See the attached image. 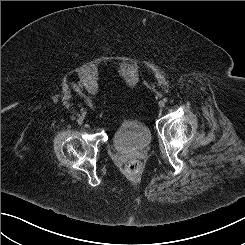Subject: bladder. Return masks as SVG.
I'll return each mask as SVG.
<instances>
[{
  "label": "bladder",
  "mask_w": 245,
  "mask_h": 245,
  "mask_svg": "<svg viewBox=\"0 0 245 245\" xmlns=\"http://www.w3.org/2000/svg\"><path fill=\"white\" fill-rule=\"evenodd\" d=\"M151 131L139 119H123L114 129L112 143L117 150L131 152L144 149L151 143Z\"/></svg>",
  "instance_id": "obj_1"
}]
</instances>
